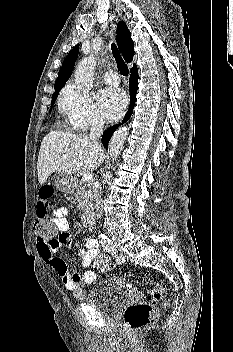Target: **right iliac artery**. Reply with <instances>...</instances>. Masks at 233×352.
Wrapping results in <instances>:
<instances>
[{
	"label": "right iliac artery",
	"mask_w": 233,
	"mask_h": 352,
	"mask_svg": "<svg viewBox=\"0 0 233 352\" xmlns=\"http://www.w3.org/2000/svg\"><path fill=\"white\" fill-rule=\"evenodd\" d=\"M110 249H111V247H109L108 245L104 246V251L105 252H110Z\"/></svg>",
	"instance_id": "obj_1"
}]
</instances>
